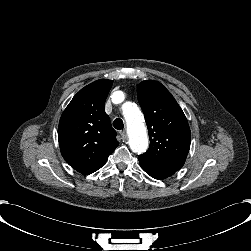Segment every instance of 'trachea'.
<instances>
[{"label": "trachea", "instance_id": "1", "mask_svg": "<svg viewBox=\"0 0 251 251\" xmlns=\"http://www.w3.org/2000/svg\"><path fill=\"white\" fill-rule=\"evenodd\" d=\"M113 126L115 129L121 130L124 128V123H123L122 119L116 118L113 122Z\"/></svg>", "mask_w": 251, "mask_h": 251}]
</instances>
